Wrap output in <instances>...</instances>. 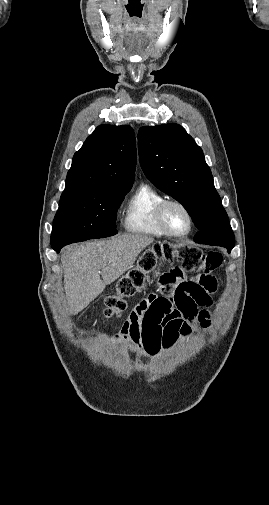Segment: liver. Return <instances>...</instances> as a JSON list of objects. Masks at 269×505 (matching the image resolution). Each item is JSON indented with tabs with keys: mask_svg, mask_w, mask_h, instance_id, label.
<instances>
[{
	"mask_svg": "<svg viewBox=\"0 0 269 505\" xmlns=\"http://www.w3.org/2000/svg\"><path fill=\"white\" fill-rule=\"evenodd\" d=\"M153 241L146 235L125 234L68 247L61 262L69 313L76 315L87 307L106 285L131 269L139 253Z\"/></svg>",
	"mask_w": 269,
	"mask_h": 505,
	"instance_id": "1",
	"label": "liver"
}]
</instances>
